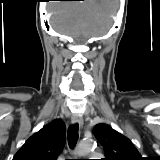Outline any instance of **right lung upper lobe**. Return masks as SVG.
<instances>
[{"label": "right lung upper lobe", "mask_w": 160, "mask_h": 160, "mask_svg": "<svg viewBox=\"0 0 160 160\" xmlns=\"http://www.w3.org/2000/svg\"><path fill=\"white\" fill-rule=\"evenodd\" d=\"M66 140L62 120H54L33 134L13 157V160H56Z\"/></svg>", "instance_id": "1"}]
</instances>
